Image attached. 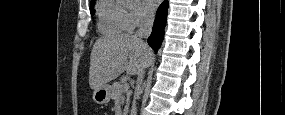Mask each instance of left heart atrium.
<instances>
[{
  "instance_id": "obj_1",
  "label": "left heart atrium",
  "mask_w": 285,
  "mask_h": 115,
  "mask_svg": "<svg viewBox=\"0 0 285 115\" xmlns=\"http://www.w3.org/2000/svg\"><path fill=\"white\" fill-rule=\"evenodd\" d=\"M157 3H158L157 0H144L143 1L144 7L146 8L148 12L154 11L157 6Z\"/></svg>"
}]
</instances>
